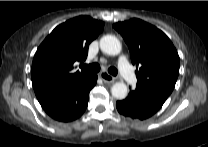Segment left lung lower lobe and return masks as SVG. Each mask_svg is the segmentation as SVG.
<instances>
[{"label": "left lung lower lobe", "instance_id": "0a47b994", "mask_svg": "<svg viewBox=\"0 0 208 147\" xmlns=\"http://www.w3.org/2000/svg\"><path fill=\"white\" fill-rule=\"evenodd\" d=\"M167 98L152 88L137 85L126 99L117 101L116 107L126 117L144 120L155 114Z\"/></svg>", "mask_w": 208, "mask_h": 147}]
</instances>
